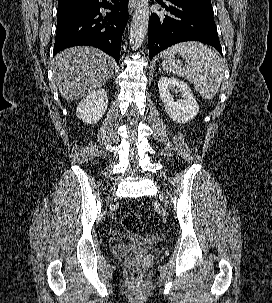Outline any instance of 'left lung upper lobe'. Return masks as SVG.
<instances>
[{"label": "left lung upper lobe", "instance_id": "left-lung-upper-lobe-1", "mask_svg": "<svg viewBox=\"0 0 272 303\" xmlns=\"http://www.w3.org/2000/svg\"><path fill=\"white\" fill-rule=\"evenodd\" d=\"M172 1V0H170ZM174 1H190L195 3H208L211 4V0H174Z\"/></svg>", "mask_w": 272, "mask_h": 303}]
</instances>
